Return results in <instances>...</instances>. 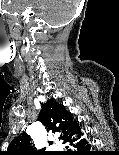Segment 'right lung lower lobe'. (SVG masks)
<instances>
[{
    "mask_svg": "<svg viewBox=\"0 0 119 155\" xmlns=\"http://www.w3.org/2000/svg\"><path fill=\"white\" fill-rule=\"evenodd\" d=\"M81 135L82 133L79 128L67 139L65 143H68L71 149H68L62 155H95V152L91 150V145L85 139L80 140Z\"/></svg>",
    "mask_w": 119,
    "mask_h": 155,
    "instance_id": "obj_1",
    "label": "right lung lower lobe"
}]
</instances>
